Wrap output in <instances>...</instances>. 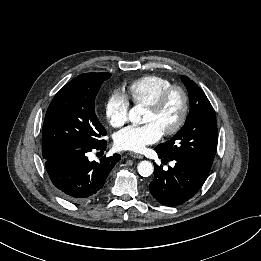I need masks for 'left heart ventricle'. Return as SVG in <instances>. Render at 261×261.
Listing matches in <instances>:
<instances>
[{"label":"left heart ventricle","instance_id":"obj_1","mask_svg":"<svg viewBox=\"0 0 261 261\" xmlns=\"http://www.w3.org/2000/svg\"><path fill=\"white\" fill-rule=\"evenodd\" d=\"M181 108V96L178 93H175L159 114H153L149 110H146L143 117V123H153L163 132L176 123L180 116Z\"/></svg>","mask_w":261,"mask_h":261}]
</instances>
